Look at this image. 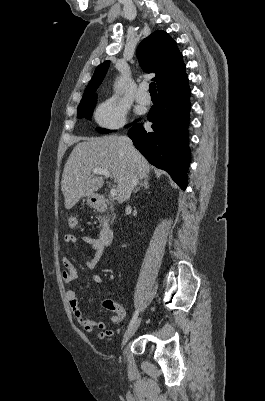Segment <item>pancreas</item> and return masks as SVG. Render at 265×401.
Listing matches in <instances>:
<instances>
[{"label": "pancreas", "instance_id": "pancreas-1", "mask_svg": "<svg viewBox=\"0 0 265 401\" xmlns=\"http://www.w3.org/2000/svg\"><path fill=\"white\" fill-rule=\"evenodd\" d=\"M99 219H101V221H105V219H107V215H101V217H99ZM113 219H115V215L113 213ZM109 221V219H108Z\"/></svg>", "mask_w": 265, "mask_h": 401}]
</instances>
